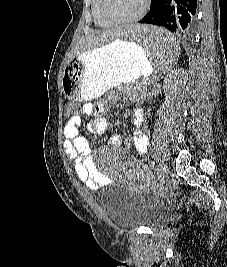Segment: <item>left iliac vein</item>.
Returning a JSON list of instances; mask_svg holds the SVG:
<instances>
[{
    "mask_svg": "<svg viewBox=\"0 0 227 267\" xmlns=\"http://www.w3.org/2000/svg\"><path fill=\"white\" fill-rule=\"evenodd\" d=\"M157 171H158V179L160 181H163V180H165L167 178L169 169H168L167 164L164 161H161L158 164Z\"/></svg>",
    "mask_w": 227,
    "mask_h": 267,
    "instance_id": "4c4485c4",
    "label": "left iliac vein"
}]
</instances>
